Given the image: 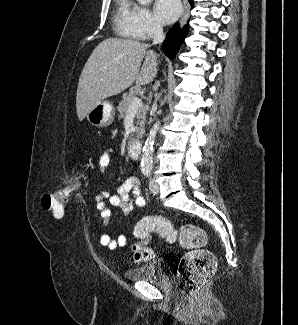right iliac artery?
Wrapping results in <instances>:
<instances>
[{
	"mask_svg": "<svg viewBox=\"0 0 298 325\" xmlns=\"http://www.w3.org/2000/svg\"><path fill=\"white\" fill-rule=\"evenodd\" d=\"M145 175H146V176H148V175H149V173H148V172H146V173H145Z\"/></svg>",
	"mask_w": 298,
	"mask_h": 325,
	"instance_id": "right-iliac-artery-1",
	"label": "right iliac artery"
}]
</instances>
